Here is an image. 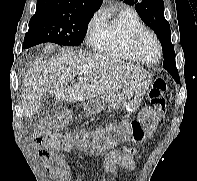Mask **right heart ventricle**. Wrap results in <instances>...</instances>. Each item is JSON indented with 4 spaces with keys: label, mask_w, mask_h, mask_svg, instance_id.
<instances>
[{
    "label": "right heart ventricle",
    "mask_w": 197,
    "mask_h": 181,
    "mask_svg": "<svg viewBox=\"0 0 197 181\" xmlns=\"http://www.w3.org/2000/svg\"><path fill=\"white\" fill-rule=\"evenodd\" d=\"M145 28L139 14L132 8H122L107 19L91 40L92 49L109 58L130 62H142L132 49V38Z\"/></svg>",
    "instance_id": "obj_1"
}]
</instances>
